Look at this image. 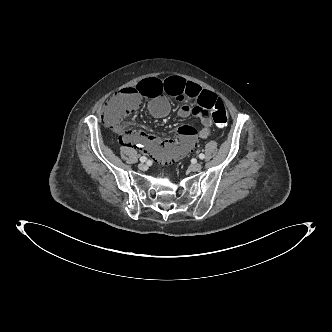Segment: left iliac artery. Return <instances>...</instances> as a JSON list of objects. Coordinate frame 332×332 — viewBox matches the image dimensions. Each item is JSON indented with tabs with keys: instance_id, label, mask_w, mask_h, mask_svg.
I'll use <instances>...</instances> for the list:
<instances>
[{
	"instance_id": "44dca946",
	"label": "left iliac artery",
	"mask_w": 332,
	"mask_h": 332,
	"mask_svg": "<svg viewBox=\"0 0 332 332\" xmlns=\"http://www.w3.org/2000/svg\"><path fill=\"white\" fill-rule=\"evenodd\" d=\"M199 158L200 159H204L205 158V155L203 153L199 154Z\"/></svg>"
}]
</instances>
